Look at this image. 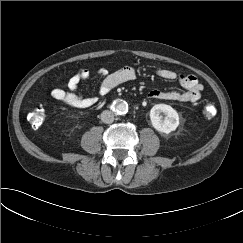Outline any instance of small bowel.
<instances>
[{
  "label": "small bowel",
  "instance_id": "small-bowel-1",
  "mask_svg": "<svg viewBox=\"0 0 243 243\" xmlns=\"http://www.w3.org/2000/svg\"><path fill=\"white\" fill-rule=\"evenodd\" d=\"M158 75L165 80L178 79L179 83L186 89L184 92L178 90L162 91L158 89L151 90L148 94L150 99L170 100L181 103H194L201 97L203 90L202 84L191 74H177L171 69H160ZM136 77V70L131 66L122 67L114 72H108L101 68L91 75L88 69H81L74 74L63 87L56 88L51 92L53 99L73 108L85 109L95 105L97 97H83L77 90L79 84L83 81L94 78H101V84L98 91L100 96H106L112 89L118 85L131 81Z\"/></svg>",
  "mask_w": 243,
  "mask_h": 243
}]
</instances>
